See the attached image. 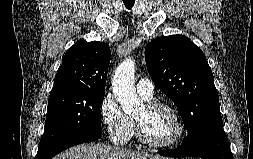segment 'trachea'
<instances>
[{
    "mask_svg": "<svg viewBox=\"0 0 253 159\" xmlns=\"http://www.w3.org/2000/svg\"><path fill=\"white\" fill-rule=\"evenodd\" d=\"M124 5L126 8L131 9L134 6L135 1L134 0H123Z\"/></svg>",
    "mask_w": 253,
    "mask_h": 159,
    "instance_id": "1",
    "label": "trachea"
}]
</instances>
